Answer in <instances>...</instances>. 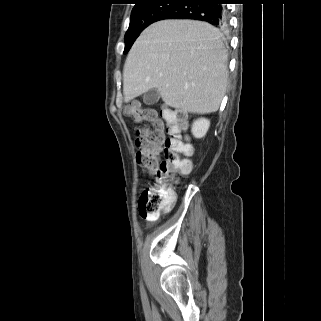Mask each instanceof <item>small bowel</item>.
Returning <instances> with one entry per match:
<instances>
[{
  "instance_id": "small-bowel-1",
  "label": "small bowel",
  "mask_w": 321,
  "mask_h": 321,
  "mask_svg": "<svg viewBox=\"0 0 321 321\" xmlns=\"http://www.w3.org/2000/svg\"><path fill=\"white\" fill-rule=\"evenodd\" d=\"M150 220H153V219H155V217H153V218H149Z\"/></svg>"
}]
</instances>
